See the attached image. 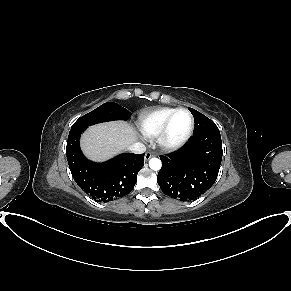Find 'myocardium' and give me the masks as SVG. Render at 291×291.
Segmentation results:
<instances>
[{"mask_svg": "<svg viewBox=\"0 0 291 291\" xmlns=\"http://www.w3.org/2000/svg\"><path fill=\"white\" fill-rule=\"evenodd\" d=\"M179 112H186L189 115L190 125L182 137H180L177 140H171L169 138V131H170L171 123H172V120L175 117V115L178 114ZM194 125H195L194 116L189 109H187V108L175 109L170 114V116L167 118L166 122L163 125V128L161 129L160 133L158 134L157 141H158L159 146L162 149L167 150V151H174V150L180 149L190 139V137L193 133V130H194Z\"/></svg>", "mask_w": 291, "mask_h": 291, "instance_id": "f54148a6", "label": "myocardium"}]
</instances>
